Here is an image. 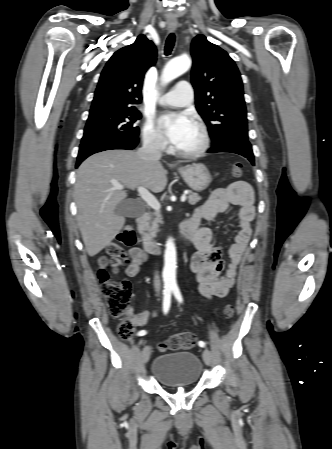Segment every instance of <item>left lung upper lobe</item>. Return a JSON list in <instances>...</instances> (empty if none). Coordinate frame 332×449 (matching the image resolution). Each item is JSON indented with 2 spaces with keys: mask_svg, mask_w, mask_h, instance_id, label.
<instances>
[{
  "mask_svg": "<svg viewBox=\"0 0 332 449\" xmlns=\"http://www.w3.org/2000/svg\"><path fill=\"white\" fill-rule=\"evenodd\" d=\"M191 82L198 113L205 121L212 146L227 139H248L243 84L226 51L197 35L191 44Z\"/></svg>",
  "mask_w": 332,
  "mask_h": 449,
  "instance_id": "1",
  "label": "left lung upper lobe"
}]
</instances>
